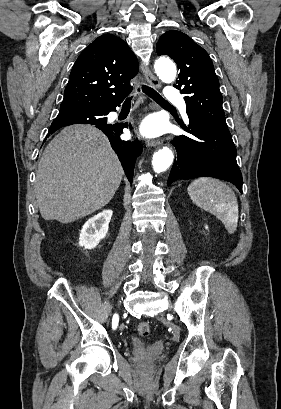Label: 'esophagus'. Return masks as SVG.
I'll return each instance as SVG.
<instances>
[{"mask_svg": "<svg viewBox=\"0 0 281 409\" xmlns=\"http://www.w3.org/2000/svg\"><path fill=\"white\" fill-rule=\"evenodd\" d=\"M142 71L143 74L147 80V82L152 85L153 87L156 88H160L161 87V83L160 81L157 79V77H155V75H153V73L151 72V70L147 67V66H142ZM162 142L160 140H152V141H148L147 145L150 147H156L157 145H160Z\"/></svg>", "mask_w": 281, "mask_h": 409, "instance_id": "obj_1", "label": "esophagus"}]
</instances>
